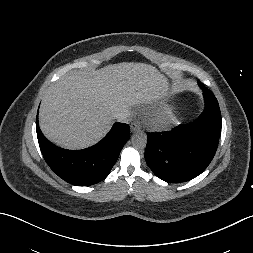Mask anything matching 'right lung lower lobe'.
I'll use <instances>...</instances> for the list:
<instances>
[{
    "label": "right lung lower lobe",
    "mask_w": 253,
    "mask_h": 253,
    "mask_svg": "<svg viewBox=\"0 0 253 253\" xmlns=\"http://www.w3.org/2000/svg\"><path fill=\"white\" fill-rule=\"evenodd\" d=\"M36 131L39 146L49 167L63 180L76 186L96 184L107 177L130 136L129 126L115 123L98 144L83 150H66L50 143Z\"/></svg>",
    "instance_id": "obj_1"
}]
</instances>
